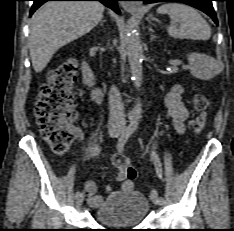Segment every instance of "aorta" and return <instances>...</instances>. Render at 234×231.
Here are the masks:
<instances>
[{
    "label": "aorta",
    "mask_w": 234,
    "mask_h": 231,
    "mask_svg": "<svg viewBox=\"0 0 234 231\" xmlns=\"http://www.w3.org/2000/svg\"><path fill=\"white\" fill-rule=\"evenodd\" d=\"M126 50L134 85L139 90L142 82V62L144 55L137 30L133 26H129L127 29ZM141 112L142 105L138 101L129 116L130 122L138 123L141 118Z\"/></svg>",
    "instance_id": "762f6f07"
}]
</instances>
